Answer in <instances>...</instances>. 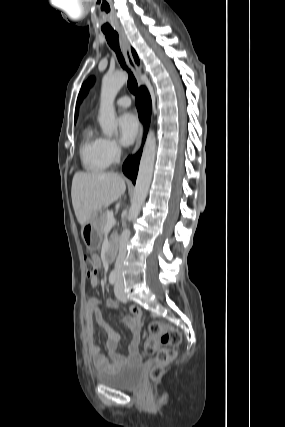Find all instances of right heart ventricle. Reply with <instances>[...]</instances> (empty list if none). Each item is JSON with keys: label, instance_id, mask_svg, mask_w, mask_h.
<instances>
[{"label": "right heart ventricle", "instance_id": "1", "mask_svg": "<svg viewBox=\"0 0 285 427\" xmlns=\"http://www.w3.org/2000/svg\"><path fill=\"white\" fill-rule=\"evenodd\" d=\"M82 166L89 172H100L108 168L110 160L105 151V139L92 126L85 128L79 147Z\"/></svg>", "mask_w": 285, "mask_h": 427}]
</instances>
